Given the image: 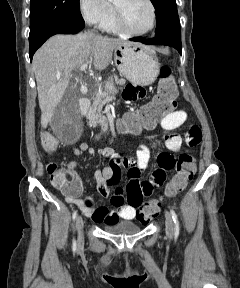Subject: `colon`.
<instances>
[{
	"label": "colon",
	"mask_w": 240,
	"mask_h": 288,
	"mask_svg": "<svg viewBox=\"0 0 240 288\" xmlns=\"http://www.w3.org/2000/svg\"><path fill=\"white\" fill-rule=\"evenodd\" d=\"M177 95L178 91L172 70L168 66H163L160 70L155 95L148 103L124 116L121 121L122 129L138 130L153 127L175 109ZM41 144L47 153L55 152L58 147L56 139L49 133L42 135ZM195 170L194 158L190 154L183 152L176 164V174L166 187L165 196L173 197L183 191L192 180ZM47 171L55 188L61 190L67 196L76 197L80 195L82 182L79 177L69 173L56 163H50ZM127 202L135 208V216L141 222H148L156 217L162 205V199L143 202V198L136 190L128 192Z\"/></svg>",
	"instance_id": "5ec220e1"
}]
</instances>
